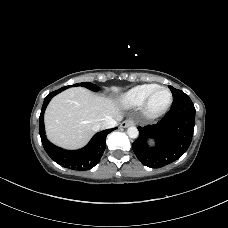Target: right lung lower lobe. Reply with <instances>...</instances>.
<instances>
[{"label":"right lung lower lobe","mask_w":228,"mask_h":228,"mask_svg":"<svg viewBox=\"0 0 228 228\" xmlns=\"http://www.w3.org/2000/svg\"><path fill=\"white\" fill-rule=\"evenodd\" d=\"M63 91L62 89L49 93L43 103L40 113V136L43 147L52 160L59 165L72 170L85 171L95 166L103 155L106 146V136L114 129L98 132L91 141L82 149L69 151L53 145L45 136L44 111L53 96Z\"/></svg>","instance_id":"right-lung-lower-lobe-1"}]
</instances>
